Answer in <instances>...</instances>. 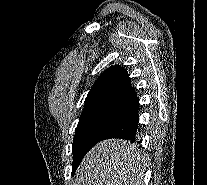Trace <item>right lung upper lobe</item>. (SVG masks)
Here are the masks:
<instances>
[{"instance_id": "obj_1", "label": "right lung upper lobe", "mask_w": 207, "mask_h": 185, "mask_svg": "<svg viewBox=\"0 0 207 185\" xmlns=\"http://www.w3.org/2000/svg\"><path fill=\"white\" fill-rule=\"evenodd\" d=\"M138 101L135 89L124 68L112 66L106 69L88 93L84 111L110 109L125 112Z\"/></svg>"}]
</instances>
